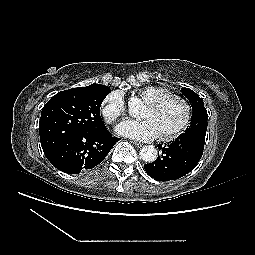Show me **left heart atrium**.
Here are the masks:
<instances>
[{
  "label": "left heart atrium",
  "mask_w": 255,
  "mask_h": 255,
  "mask_svg": "<svg viewBox=\"0 0 255 255\" xmlns=\"http://www.w3.org/2000/svg\"><path fill=\"white\" fill-rule=\"evenodd\" d=\"M116 130L121 135L140 141H151L161 136L159 125L152 118L125 120L117 126Z\"/></svg>",
  "instance_id": "1"
}]
</instances>
